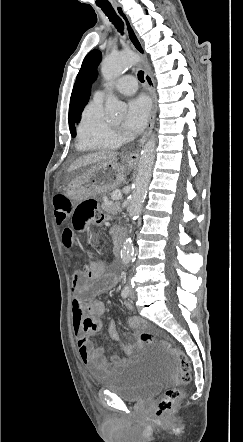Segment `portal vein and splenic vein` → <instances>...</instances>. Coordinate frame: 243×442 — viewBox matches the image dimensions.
Here are the masks:
<instances>
[{
    "label": "portal vein and splenic vein",
    "instance_id": "obj_1",
    "mask_svg": "<svg viewBox=\"0 0 243 442\" xmlns=\"http://www.w3.org/2000/svg\"><path fill=\"white\" fill-rule=\"evenodd\" d=\"M112 200L117 201L122 198V193L120 191H115L111 195Z\"/></svg>",
    "mask_w": 243,
    "mask_h": 442
}]
</instances>
